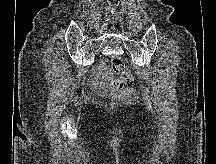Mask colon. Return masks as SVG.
Listing matches in <instances>:
<instances>
[{"instance_id": "obj_1", "label": "colon", "mask_w": 216, "mask_h": 164, "mask_svg": "<svg viewBox=\"0 0 216 164\" xmlns=\"http://www.w3.org/2000/svg\"><path fill=\"white\" fill-rule=\"evenodd\" d=\"M116 76L110 77V88L119 98H126L131 94L133 76L125 63L119 57H112L107 60Z\"/></svg>"}]
</instances>
